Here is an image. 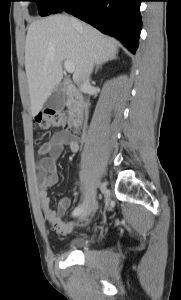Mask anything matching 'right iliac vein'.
<instances>
[{"label": "right iliac vein", "instance_id": "right-iliac-vein-1", "mask_svg": "<svg viewBox=\"0 0 181 300\" xmlns=\"http://www.w3.org/2000/svg\"><path fill=\"white\" fill-rule=\"evenodd\" d=\"M96 211V187L93 186L88 194L86 207L81 213V217H88L91 213Z\"/></svg>", "mask_w": 181, "mask_h": 300}]
</instances>
